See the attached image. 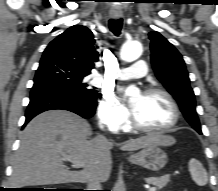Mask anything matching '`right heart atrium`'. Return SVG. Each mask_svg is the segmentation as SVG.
<instances>
[{
	"label": "right heart atrium",
	"mask_w": 218,
	"mask_h": 191,
	"mask_svg": "<svg viewBox=\"0 0 218 191\" xmlns=\"http://www.w3.org/2000/svg\"><path fill=\"white\" fill-rule=\"evenodd\" d=\"M97 116L99 122L111 131L123 128L129 120L127 108L111 91H106L98 104Z\"/></svg>",
	"instance_id": "1"
}]
</instances>
